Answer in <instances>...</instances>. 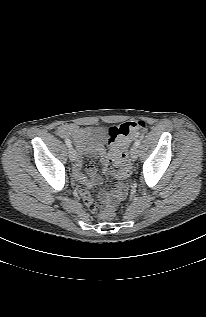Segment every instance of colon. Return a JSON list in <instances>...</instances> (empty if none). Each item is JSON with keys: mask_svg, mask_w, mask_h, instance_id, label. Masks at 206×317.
Wrapping results in <instances>:
<instances>
[{"mask_svg": "<svg viewBox=\"0 0 206 317\" xmlns=\"http://www.w3.org/2000/svg\"><path fill=\"white\" fill-rule=\"evenodd\" d=\"M143 121H127L118 126H113L109 130V142L113 152L111 160L119 167L117 176L120 179H125L129 176L131 165L128 160L127 147L130 141L140 136L145 130ZM94 212L100 217L111 219L115 215L112 207L97 204Z\"/></svg>", "mask_w": 206, "mask_h": 317, "instance_id": "obj_1", "label": "colon"}]
</instances>
